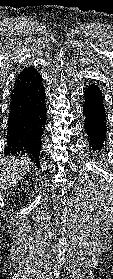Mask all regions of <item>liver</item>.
<instances>
[{
    "instance_id": "6515ba94",
    "label": "liver",
    "mask_w": 113,
    "mask_h": 279,
    "mask_svg": "<svg viewBox=\"0 0 113 279\" xmlns=\"http://www.w3.org/2000/svg\"><path fill=\"white\" fill-rule=\"evenodd\" d=\"M31 165L27 156H10L5 158L0 174V190H7L23 179Z\"/></svg>"
}]
</instances>
